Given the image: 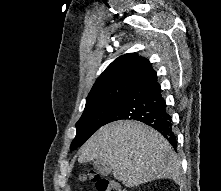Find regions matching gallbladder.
<instances>
[{"mask_svg":"<svg viewBox=\"0 0 221 191\" xmlns=\"http://www.w3.org/2000/svg\"><path fill=\"white\" fill-rule=\"evenodd\" d=\"M93 166L96 171L102 175H108L112 172L110 165L102 159H95L93 161Z\"/></svg>","mask_w":221,"mask_h":191,"instance_id":"bac80fb5","label":"gallbladder"}]
</instances>
